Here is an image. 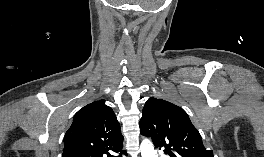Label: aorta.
Wrapping results in <instances>:
<instances>
[{
  "instance_id": "aorta-1",
  "label": "aorta",
  "mask_w": 264,
  "mask_h": 157,
  "mask_svg": "<svg viewBox=\"0 0 264 157\" xmlns=\"http://www.w3.org/2000/svg\"><path fill=\"white\" fill-rule=\"evenodd\" d=\"M142 157H157L156 151L154 150L152 144L147 140H144L140 146Z\"/></svg>"
}]
</instances>
